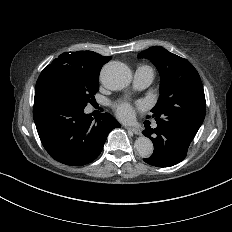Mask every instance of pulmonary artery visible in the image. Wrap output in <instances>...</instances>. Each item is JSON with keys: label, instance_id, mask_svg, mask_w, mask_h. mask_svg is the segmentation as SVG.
I'll list each match as a JSON object with an SVG mask.
<instances>
[{"label": "pulmonary artery", "instance_id": "1", "mask_svg": "<svg viewBox=\"0 0 232 232\" xmlns=\"http://www.w3.org/2000/svg\"><path fill=\"white\" fill-rule=\"evenodd\" d=\"M138 77L136 79L137 86L129 87L126 91H123L117 94L120 102L125 103L128 99L132 98L133 95H137L140 92V89H146L150 86L151 82L154 79V73L150 66L143 65L138 70ZM117 100L116 95L112 97L104 98L103 103L106 106H113L115 105Z\"/></svg>", "mask_w": 232, "mask_h": 232}]
</instances>
